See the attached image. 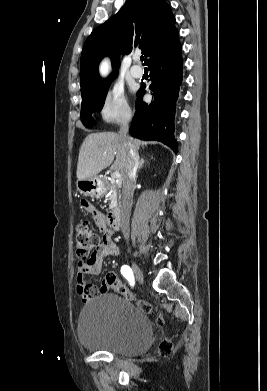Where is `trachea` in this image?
Wrapping results in <instances>:
<instances>
[{"label": "trachea", "instance_id": "obj_1", "mask_svg": "<svg viewBox=\"0 0 267 391\" xmlns=\"http://www.w3.org/2000/svg\"><path fill=\"white\" fill-rule=\"evenodd\" d=\"M141 60H142V61L144 60V57H143V56L141 57Z\"/></svg>", "mask_w": 267, "mask_h": 391}]
</instances>
